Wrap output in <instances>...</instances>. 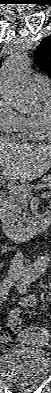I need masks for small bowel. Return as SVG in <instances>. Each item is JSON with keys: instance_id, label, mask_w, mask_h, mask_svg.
<instances>
[{"instance_id": "c3829d8e", "label": "small bowel", "mask_w": 51, "mask_h": 393, "mask_svg": "<svg viewBox=\"0 0 51 393\" xmlns=\"http://www.w3.org/2000/svg\"><path fill=\"white\" fill-rule=\"evenodd\" d=\"M16 303V307H14L11 311H10V315H18L21 312V308L22 307H33L37 304V298L33 295H29L26 297H22V298H17L14 300ZM29 330H34V328H31ZM5 337L8 336L7 333L4 334Z\"/></svg>"}]
</instances>
